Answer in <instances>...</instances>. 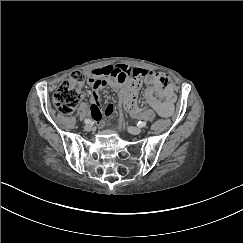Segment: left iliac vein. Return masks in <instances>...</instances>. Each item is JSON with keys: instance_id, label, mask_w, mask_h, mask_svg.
<instances>
[{"instance_id": "obj_1", "label": "left iliac vein", "mask_w": 243, "mask_h": 243, "mask_svg": "<svg viewBox=\"0 0 243 243\" xmlns=\"http://www.w3.org/2000/svg\"><path fill=\"white\" fill-rule=\"evenodd\" d=\"M128 131L131 134L138 135V134H140L142 132V129L140 127H129Z\"/></svg>"}]
</instances>
